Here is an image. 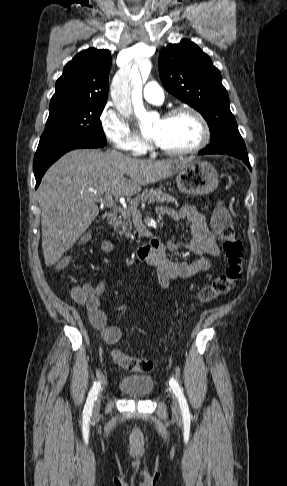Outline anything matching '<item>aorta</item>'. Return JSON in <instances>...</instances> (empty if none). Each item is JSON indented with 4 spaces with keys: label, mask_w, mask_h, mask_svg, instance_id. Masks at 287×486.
Wrapping results in <instances>:
<instances>
[{
    "label": "aorta",
    "mask_w": 287,
    "mask_h": 486,
    "mask_svg": "<svg viewBox=\"0 0 287 486\" xmlns=\"http://www.w3.org/2000/svg\"><path fill=\"white\" fill-rule=\"evenodd\" d=\"M151 62L146 60L142 65L144 77H148L151 71ZM142 78L137 66L131 71L119 72L113 79L111 85V97L117 110L125 117L136 115L142 128H150L152 120L146 112L142 101Z\"/></svg>",
    "instance_id": "aorta-1"
}]
</instances>
